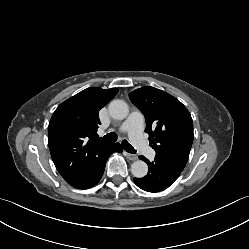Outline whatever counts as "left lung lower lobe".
I'll return each instance as SVG.
<instances>
[{"instance_id": "0a47b994", "label": "left lung lower lobe", "mask_w": 249, "mask_h": 249, "mask_svg": "<svg viewBox=\"0 0 249 249\" xmlns=\"http://www.w3.org/2000/svg\"><path fill=\"white\" fill-rule=\"evenodd\" d=\"M139 158L145 161L149 167V172L145 177L134 178L135 184L142 190L148 192L162 191L172 185L181 173L180 170L164 165L159 161L150 162L144 156Z\"/></svg>"}]
</instances>
